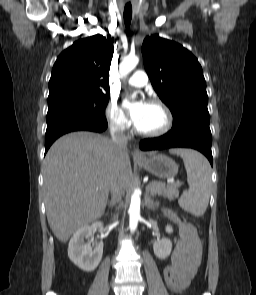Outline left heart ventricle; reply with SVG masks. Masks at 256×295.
<instances>
[{"mask_svg": "<svg viewBox=\"0 0 256 295\" xmlns=\"http://www.w3.org/2000/svg\"><path fill=\"white\" fill-rule=\"evenodd\" d=\"M164 122L162 111L153 105H147L145 114L139 124L136 126L143 131H151L160 128Z\"/></svg>", "mask_w": 256, "mask_h": 295, "instance_id": "1", "label": "left heart ventricle"}]
</instances>
